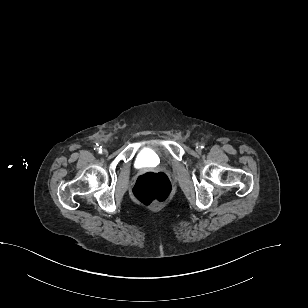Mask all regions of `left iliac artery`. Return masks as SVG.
<instances>
[{
	"label": "left iliac artery",
	"mask_w": 308,
	"mask_h": 308,
	"mask_svg": "<svg viewBox=\"0 0 308 308\" xmlns=\"http://www.w3.org/2000/svg\"><path fill=\"white\" fill-rule=\"evenodd\" d=\"M201 148H204L205 147V145L204 144H201V146H200Z\"/></svg>",
	"instance_id": "left-iliac-artery-1"
}]
</instances>
